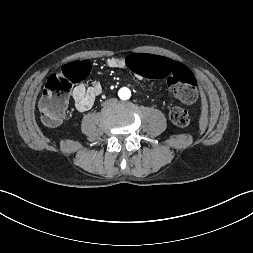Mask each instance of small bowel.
<instances>
[{"mask_svg": "<svg viewBox=\"0 0 253 253\" xmlns=\"http://www.w3.org/2000/svg\"><path fill=\"white\" fill-rule=\"evenodd\" d=\"M127 57L112 56L106 60V65L113 69H124L126 68ZM102 87L99 84H94L92 86H86L85 84H80L76 86L72 92V98L75 103V107L80 112H85L89 110L96 98L101 94Z\"/></svg>", "mask_w": 253, "mask_h": 253, "instance_id": "obj_1", "label": "small bowel"}]
</instances>
